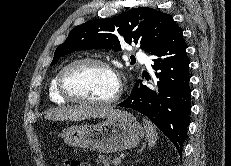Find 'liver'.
Here are the masks:
<instances>
[{
	"label": "liver",
	"instance_id": "6515ba94",
	"mask_svg": "<svg viewBox=\"0 0 231 166\" xmlns=\"http://www.w3.org/2000/svg\"><path fill=\"white\" fill-rule=\"evenodd\" d=\"M124 111L113 109L112 107L93 106H60L50 109L45 113V118L49 120H70L81 121L90 118L113 119L119 117Z\"/></svg>",
	"mask_w": 231,
	"mask_h": 166
}]
</instances>
